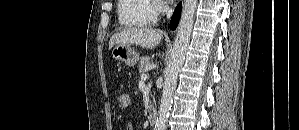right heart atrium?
I'll list each match as a JSON object with an SVG mask.
<instances>
[{"label": "right heart atrium", "mask_w": 299, "mask_h": 130, "mask_svg": "<svg viewBox=\"0 0 299 130\" xmlns=\"http://www.w3.org/2000/svg\"><path fill=\"white\" fill-rule=\"evenodd\" d=\"M168 8H167V5L166 4H161L159 5L157 11L158 13L160 14H164L165 12H167Z\"/></svg>", "instance_id": "d8ad5b80"}]
</instances>
